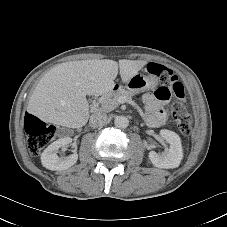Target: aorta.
Returning <instances> with one entry per match:
<instances>
[{"label": "aorta", "instance_id": "aorta-1", "mask_svg": "<svg viewBox=\"0 0 227 227\" xmlns=\"http://www.w3.org/2000/svg\"><path fill=\"white\" fill-rule=\"evenodd\" d=\"M114 124L117 128L125 129L129 125V120L125 116H117L114 120Z\"/></svg>", "mask_w": 227, "mask_h": 227}]
</instances>
